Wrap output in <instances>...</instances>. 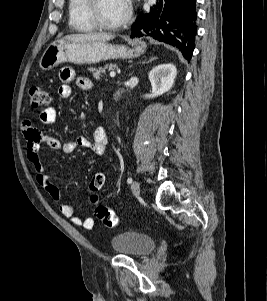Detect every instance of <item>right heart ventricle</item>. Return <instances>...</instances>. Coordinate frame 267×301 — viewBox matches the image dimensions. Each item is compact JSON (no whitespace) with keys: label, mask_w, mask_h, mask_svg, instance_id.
<instances>
[{"label":"right heart ventricle","mask_w":267,"mask_h":301,"mask_svg":"<svg viewBox=\"0 0 267 301\" xmlns=\"http://www.w3.org/2000/svg\"><path fill=\"white\" fill-rule=\"evenodd\" d=\"M88 0H69V26L81 33H89L97 30L88 16Z\"/></svg>","instance_id":"obj_1"}]
</instances>
